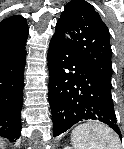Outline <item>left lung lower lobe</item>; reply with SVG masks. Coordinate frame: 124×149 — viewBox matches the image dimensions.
<instances>
[{
  "instance_id": "obj_1",
  "label": "left lung lower lobe",
  "mask_w": 124,
  "mask_h": 149,
  "mask_svg": "<svg viewBox=\"0 0 124 149\" xmlns=\"http://www.w3.org/2000/svg\"><path fill=\"white\" fill-rule=\"evenodd\" d=\"M48 69L53 136L64 133L80 121L92 119L107 124L122 138L111 84L98 77L57 34L50 41Z\"/></svg>"
}]
</instances>
